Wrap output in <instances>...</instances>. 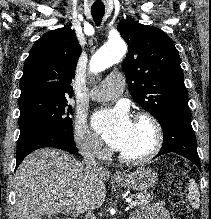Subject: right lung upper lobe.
Wrapping results in <instances>:
<instances>
[{"instance_id": "cb5924a9", "label": "right lung upper lobe", "mask_w": 211, "mask_h": 219, "mask_svg": "<svg viewBox=\"0 0 211 219\" xmlns=\"http://www.w3.org/2000/svg\"><path fill=\"white\" fill-rule=\"evenodd\" d=\"M80 54L74 30L64 27L45 33L25 61L19 101L34 97L70 98V84Z\"/></svg>"}]
</instances>
